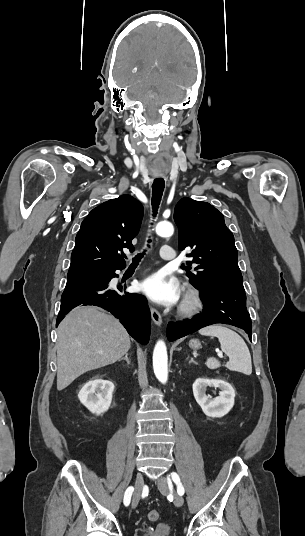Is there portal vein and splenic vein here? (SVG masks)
<instances>
[{"label": "portal vein and splenic vein", "mask_w": 305, "mask_h": 536, "mask_svg": "<svg viewBox=\"0 0 305 536\" xmlns=\"http://www.w3.org/2000/svg\"><path fill=\"white\" fill-rule=\"evenodd\" d=\"M216 352H217V356H219V358H224L222 352H219V350H216Z\"/></svg>", "instance_id": "1"}]
</instances>
